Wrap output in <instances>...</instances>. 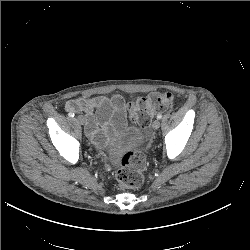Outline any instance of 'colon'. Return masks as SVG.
<instances>
[{"label": "colon", "instance_id": "1", "mask_svg": "<svg viewBox=\"0 0 250 250\" xmlns=\"http://www.w3.org/2000/svg\"><path fill=\"white\" fill-rule=\"evenodd\" d=\"M174 97L170 92H153L145 97L135 98L129 105L130 117L142 128L149 127L156 112L170 110ZM145 157L139 150L126 152L115 174L118 186L137 188L144 180Z\"/></svg>", "mask_w": 250, "mask_h": 250}]
</instances>
